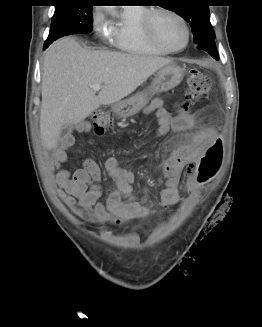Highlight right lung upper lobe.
<instances>
[{"label":"right lung upper lobe","instance_id":"cb5924a9","mask_svg":"<svg viewBox=\"0 0 262 327\" xmlns=\"http://www.w3.org/2000/svg\"><path fill=\"white\" fill-rule=\"evenodd\" d=\"M58 2H60V1H70V0H57Z\"/></svg>","mask_w":262,"mask_h":327}]
</instances>
